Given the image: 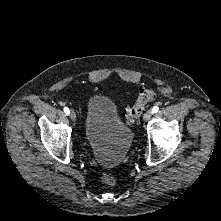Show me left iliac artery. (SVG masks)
Returning a JSON list of instances; mask_svg holds the SVG:
<instances>
[{
	"mask_svg": "<svg viewBox=\"0 0 221 221\" xmlns=\"http://www.w3.org/2000/svg\"><path fill=\"white\" fill-rule=\"evenodd\" d=\"M158 110H159V107L158 106H154L152 108V113H156Z\"/></svg>",
	"mask_w": 221,
	"mask_h": 221,
	"instance_id": "1",
	"label": "left iliac artery"
}]
</instances>
